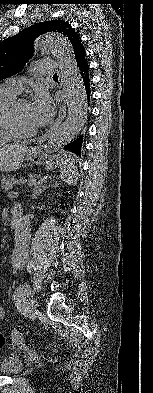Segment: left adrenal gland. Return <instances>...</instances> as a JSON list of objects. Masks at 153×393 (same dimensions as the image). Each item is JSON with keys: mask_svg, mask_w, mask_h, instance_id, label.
I'll return each mask as SVG.
<instances>
[{"mask_svg": "<svg viewBox=\"0 0 153 393\" xmlns=\"http://www.w3.org/2000/svg\"><path fill=\"white\" fill-rule=\"evenodd\" d=\"M44 180H39L36 184H34V188H33V197H37L40 195V193L42 192L41 185L43 183ZM45 189V187L43 186V190Z\"/></svg>", "mask_w": 153, "mask_h": 393, "instance_id": "obj_1", "label": "left adrenal gland"}]
</instances>
